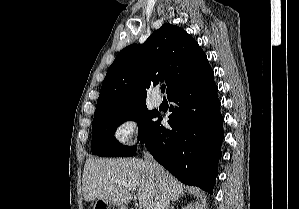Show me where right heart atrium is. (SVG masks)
Masks as SVG:
<instances>
[{"mask_svg":"<svg viewBox=\"0 0 299 209\" xmlns=\"http://www.w3.org/2000/svg\"><path fill=\"white\" fill-rule=\"evenodd\" d=\"M111 136L114 142L122 145L137 144L141 136L140 121L133 115L121 116L115 122Z\"/></svg>","mask_w":299,"mask_h":209,"instance_id":"obj_1","label":"right heart atrium"}]
</instances>
